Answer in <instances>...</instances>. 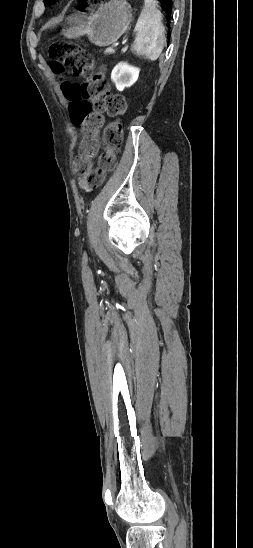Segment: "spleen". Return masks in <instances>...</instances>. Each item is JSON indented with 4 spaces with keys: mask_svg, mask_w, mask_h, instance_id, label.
<instances>
[{
    "mask_svg": "<svg viewBox=\"0 0 253 548\" xmlns=\"http://www.w3.org/2000/svg\"><path fill=\"white\" fill-rule=\"evenodd\" d=\"M144 3L134 28L137 37L132 49L137 55L155 61L159 58L166 42L165 28L155 0H144Z\"/></svg>",
    "mask_w": 253,
    "mask_h": 548,
    "instance_id": "spleen-1",
    "label": "spleen"
}]
</instances>
